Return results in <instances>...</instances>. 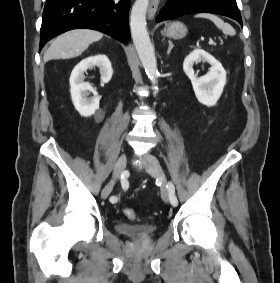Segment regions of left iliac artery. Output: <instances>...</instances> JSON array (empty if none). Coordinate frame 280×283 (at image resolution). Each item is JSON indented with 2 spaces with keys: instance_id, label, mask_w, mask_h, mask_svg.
I'll use <instances>...</instances> for the list:
<instances>
[{
  "instance_id": "44dca946",
  "label": "left iliac artery",
  "mask_w": 280,
  "mask_h": 283,
  "mask_svg": "<svg viewBox=\"0 0 280 283\" xmlns=\"http://www.w3.org/2000/svg\"><path fill=\"white\" fill-rule=\"evenodd\" d=\"M167 188H168V192H169V199H170V202L172 204V206H177L178 205V200H177V197L175 195V187L173 185L172 182H169L167 184Z\"/></svg>"
}]
</instances>
